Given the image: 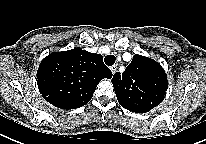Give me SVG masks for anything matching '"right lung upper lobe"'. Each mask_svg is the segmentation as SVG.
<instances>
[{
  "label": "right lung upper lobe",
  "instance_id": "cb5924a9",
  "mask_svg": "<svg viewBox=\"0 0 206 144\" xmlns=\"http://www.w3.org/2000/svg\"><path fill=\"white\" fill-rule=\"evenodd\" d=\"M111 77L102 55L75 48L44 58L37 72V84L49 103L75 109L89 102L100 80Z\"/></svg>",
  "mask_w": 206,
  "mask_h": 144
}]
</instances>
